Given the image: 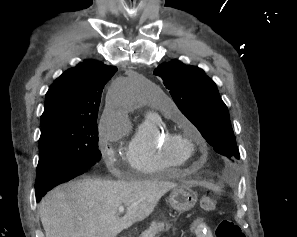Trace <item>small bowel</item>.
<instances>
[{
    "label": "small bowel",
    "instance_id": "obj_1",
    "mask_svg": "<svg viewBox=\"0 0 297 237\" xmlns=\"http://www.w3.org/2000/svg\"><path fill=\"white\" fill-rule=\"evenodd\" d=\"M193 232L196 237H213L211 229L204 222H198L194 226Z\"/></svg>",
    "mask_w": 297,
    "mask_h": 237
}]
</instances>
